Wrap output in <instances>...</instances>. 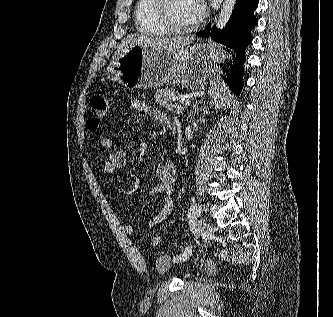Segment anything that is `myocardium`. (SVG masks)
I'll return each instance as SVG.
<instances>
[{
    "label": "myocardium",
    "instance_id": "myocardium-1",
    "mask_svg": "<svg viewBox=\"0 0 333 317\" xmlns=\"http://www.w3.org/2000/svg\"><path fill=\"white\" fill-rule=\"evenodd\" d=\"M170 0H153L152 10L153 15L159 25L169 34L177 36H185L193 33L199 26V21L187 28L175 26L169 19L168 6Z\"/></svg>",
    "mask_w": 333,
    "mask_h": 317
}]
</instances>
